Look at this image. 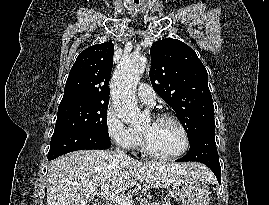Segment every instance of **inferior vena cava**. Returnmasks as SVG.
<instances>
[{
    "instance_id": "602c4592",
    "label": "inferior vena cava",
    "mask_w": 269,
    "mask_h": 205,
    "mask_svg": "<svg viewBox=\"0 0 269 205\" xmlns=\"http://www.w3.org/2000/svg\"><path fill=\"white\" fill-rule=\"evenodd\" d=\"M116 152L120 157L128 158L124 151H121L119 148H116Z\"/></svg>"
}]
</instances>
